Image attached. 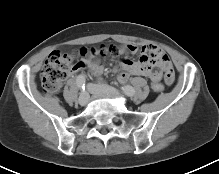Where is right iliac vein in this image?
Returning <instances> with one entry per match:
<instances>
[{"label":"right iliac vein","instance_id":"right-iliac-vein-1","mask_svg":"<svg viewBox=\"0 0 219 174\" xmlns=\"http://www.w3.org/2000/svg\"><path fill=\"white\" fill-rule=\"evenodd\" d=\"M89 101L88 92H82L78 98V102L81 106H85Z\"/></svg>","mask_w":219,"mask_h":174}]
</instances>
